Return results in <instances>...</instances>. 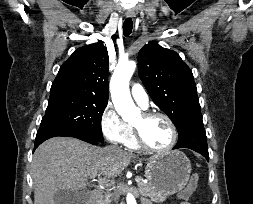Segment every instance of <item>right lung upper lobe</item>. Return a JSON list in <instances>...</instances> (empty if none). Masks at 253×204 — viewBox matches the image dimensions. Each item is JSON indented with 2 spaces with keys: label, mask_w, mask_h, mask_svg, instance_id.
Listing matches in <instances>:
<instances>
[{
  "label": "right lung upper lobe",
  "mask_w": 253,
  "mask_h": 204,
  "mask_svg": "<svg viewBox=\"0 0 253 204\" xmlns=\"http://www.w3.org/2000/svg\"><path fill=\"white\" fill-rule=\"evenodd\" d=\"M108 63L104 45L80 47L60 67L51 88H73L108 101Z\"/></svg>",
  "instance_id": "1"
}]
</instances>
